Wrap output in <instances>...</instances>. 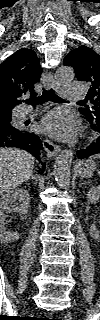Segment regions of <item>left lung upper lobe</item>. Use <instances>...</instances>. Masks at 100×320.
I'll return each mask as SVG.
<instances>
[{"label":"left lung upper lobe","instance_id":"5c2ea615","mask_svg":"<svg viewBox=\"0 0 100 320\" xmlns=\"http://www.w3.org/2000/svg\"><path fill=\"white\" fill-rule=\"evenodd\" d=\"M64 65L74 68L78 80L91 84L87 100H90L93 106L79 108L80 113L87 120L100 118V56L91 48L80 46L68 53Z\"/></svg>","mask_w":100,"mask_h":320}]
</instances>
